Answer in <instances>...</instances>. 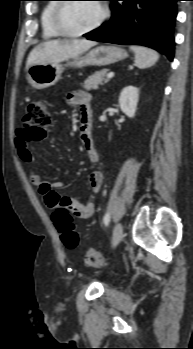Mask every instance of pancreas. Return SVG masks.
<instances>
[{
  "label": "pancreas",
  "instance_id": "obj_1",
  "mask_svg": "<svg viewBox=\"0 0 193 349\" xmlns=\"http://www.w3.org/2000/svg\"><path fill=\"white\" fill-rule=\"evenodd\" d=\"M107 72L108 69L97 71L84 81L83 88L85 90L98 89L99 85L107 83L108 80L105 79V75L107 74Z\"/></svg>",
  "mask_w": 193,
  "mask_h": 349
}]
</instances>
